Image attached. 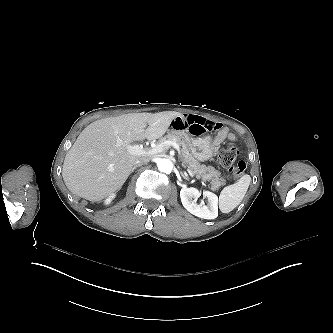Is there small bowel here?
<instances>
[{"label": "small bowel", "mask_w": 333, "mask_h": 333, "mask_svg": "<svg viewBox=\"0 0 333 333\" xmlns=\"http://www.w3.org/2000/svg\"><path fill=\"white\" fill-rule=\"evenodd\" d=\"M171 127L180 132H187L194 135L203 134L206 131L213 136L219 135L224 139V135L222 134L224 130V125L220 121H210L201 116L185 114L179 117H176L171 122ZM228 138L231 141L235 140V136L233 134H229Z\"/></svg>", "instance_id": "c3829d8e"}]
</instances>
